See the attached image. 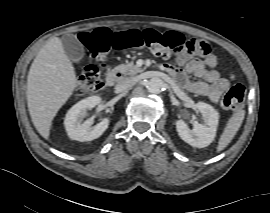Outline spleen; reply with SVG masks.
<instances>
[{
    "label": "spleen",
    "instance_id": "spleen-1",
    "mask_svg": "<svg viewBox=\"0 0 270 213\" xmlns=\"http://www.w3.org/2000/svg\"><path fill=\"white\" fill-rule=\"evenodd\" d=\"M245 116L244 111H240L232 115V117L228 120L226 127L220 137L217 152L222 151L226 148V146L232 141L234 136L236 135L237 131L239 130L243 119Z\"/></svg>",
    "mask_w": 270,
    "mask_h": 213
}]
</instances>
